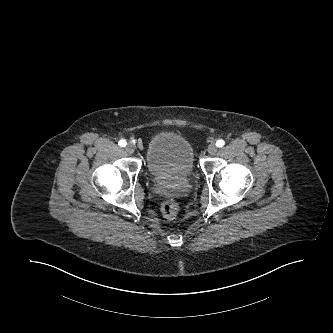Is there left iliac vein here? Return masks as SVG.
I'll list each match as a JSON object with an SVG mask.
<instances>
[{
  "label": "left iliac vein",
  "mask_w": 333,
  "mask_h": 333,
  "mask_svg": "<svg viewBox=\"0 0 333 333\" xmlns=\"http://www.w3.org/2000/svg\"><path fill=\"white\" fill-rule=\"evenodd\" d=\"M208 153L210 155H215L216 152H217V146L215 143H211L209 146H208V149H207Z\"/></svg>",
  "instance_id": "4c4485c4"
}]
</instances>
